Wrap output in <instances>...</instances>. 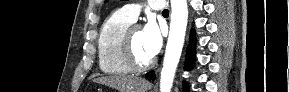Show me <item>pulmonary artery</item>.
<instances>
[{"instance_id":"pulmonary-artery-1","label":"pulmonary artery","mask_w":289,"mask_h":92,"mask_svg":"<svg viewBox=\"0 0 289 92\" xmlns=\"http://www.w3.org/2000/svg\"><path fill=\"white\" fill-rule=\"evenodd\" d=\"M150 8L158 11H163L165 8V2L162 0H150L148 2ZM120 11L131 21H136L140 11H141V5L139 4H127L123 6Z\"/></svg>"}]
</instances>
